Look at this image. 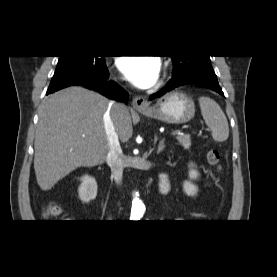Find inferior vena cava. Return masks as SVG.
<instances>
[{"mask_svg": "<svg viewBox=\"0 0 277 277\" xmlns=\"http://www.w3.org/2000/svg\"><path fill=\"white\" fill-rule=\"evenodd\" d=\"M124 107L125 106L123 104H114L113 102H110L103 117L104 129L108 143L106 162L108 166L111 168V175L114 178L117 185H121L122 183L123 153L113 123V112L117 111L118 113H120Z\"/></svg>", "mask_w": 277, "mask_h": 277, "instance_id": "1", "label": "inferior vena cava"}]
</instances>
